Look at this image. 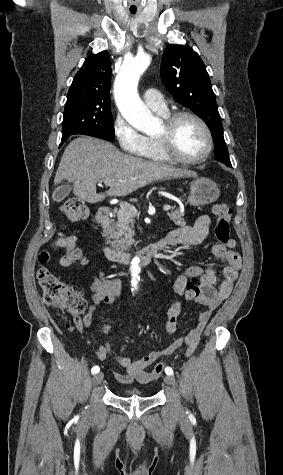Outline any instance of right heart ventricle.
<instances>
[{"label":"right heart ventricle","mask_w":283,"mask_h":475,"mask_svg":"<svg viewBox=\"0 0 283 475\" xmlns=\"http://www.w3.org/2000/svg\"><path fill=\"white\" fill-rule=\"evenodd\" d=\"M161 116L167 117L168 116V111H157ZM147 158L150 160H155V161H162V158L159 154L158 150V141L156 137H149L148 138V150L146 154Z\"/></svg>","instance_id":"obj_1"}]
</instances>
